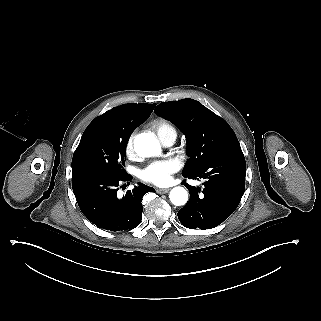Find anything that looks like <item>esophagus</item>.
I'll return each instance as SVG.
<instances>
[{"label":"esophagus","instance_id":"esophagus-1","mask_svg":"<svg viewBox=\"0 0 321 321\" xmlns=\"http://www.w3.org/2000/svg\"><path fill=\"white\" fill-rule=\"evenodd\" d=\"M170 190V188H157V193L159 194H164V193H168Z\"/></svg>","mask_w":321,"mask_h":321}]
</instances>
